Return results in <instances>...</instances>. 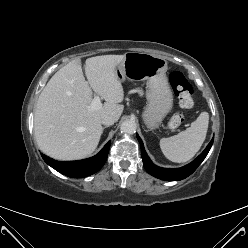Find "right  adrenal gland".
I'll use <instances>...</instances> for the list:
<instances>
[{"label": "right adrenal gland", "mask_w": 248, "mask_h": 248, "mask_svg": "<svg viewBox=\"0 0 248 248\" xmlns=\"http://www.w3.org/2000/svg\"><path fill=\"white\" fill-rule=\"evenodd\" d=\"M105 128H107V126H105V127L103 128V130H104Z\"/></svg>", "instance_id": "right-adrenal-gland-1"}]
</instances>
